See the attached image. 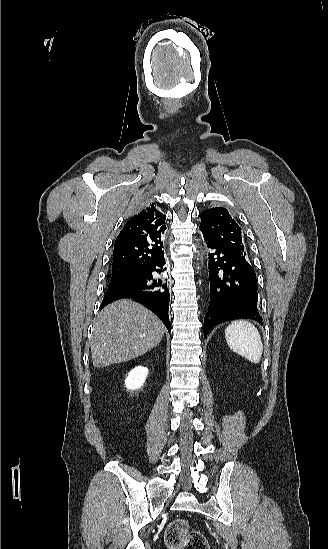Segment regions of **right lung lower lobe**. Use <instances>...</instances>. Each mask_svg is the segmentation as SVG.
Listing matches in <instances>:
<instances>
[{
	"instance_id": "obj_1",
	"label": "right lung lower lobe",
	"mask_w": 328,
	"mask_h": 549,
	"mask_svg": "<svg viewBox=\"0 0 328 549\" xmlns=\"http://www.w3.org/2000/svg\"><path fill=\"white\" fill-rule=\"evenodd\" d=\"M164 253L154 261L139 278L108 288L101 303V308L120 298H133L154 312L164 323L170 333L168 307L170 294L164 278Z\"/></svg>"
}]
</instances>
